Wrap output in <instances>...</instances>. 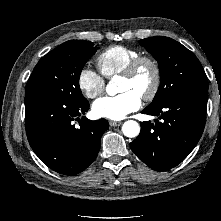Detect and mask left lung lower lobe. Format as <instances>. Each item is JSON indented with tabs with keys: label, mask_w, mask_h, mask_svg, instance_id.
Wrapping results in <instances>:
<instances>
[{
	"label": "left lung lower lobe",
	"mask_w": 221,
	"mask_h": 221,
	"mask_svg": "<svg viewBox=\"0 0 221 221\" xmlns=\"http://www.w3.org/2000/svg\"><path fill=\"white\" fill-rule=\"evenodd\" d=\"M208 91L182 92L142 113L159 116L156 124L144 121L139 136L130 143L132 151L156 171L181 163L194 149L205 125Z\"/></svg>",
	"instance_id": "0a47b994"
}]
</instances>
